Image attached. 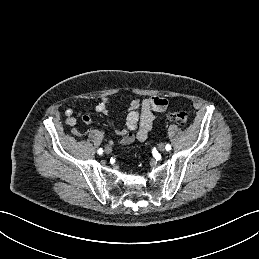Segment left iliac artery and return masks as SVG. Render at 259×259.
<instances>
[{"label":"left iliac artery","instance_id":"obj_1","mask_svg":"<svg viewBox=\"0 0 259 259\" xmlns=\"http://www.w3.org/2000/svg\"><path fill=\"white\" fill-rule=\"evenodd\" d=\"M165 149H166L167 151L171 150V145H170V144H167V145L165 146Z\"/></svg>","mask_w":259,"mask_h":259}]
</instances>
